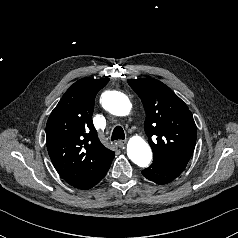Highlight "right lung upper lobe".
Masks as SVG:
<instances>
[{
	"label": "right lung upper lobe",
	"instance_id": "right-lung-upper-lobe-1",
	"mask_svg": "<svg viewBox=\"0 0 238 238\" xmlns=\"http://www.w3.org/2000/svg\"><path fill=\"white\" fill-rule=\"evenodd\" d=\"M109 78H83L63 95L46 125V145L59 175L79 187L109 166L114 152L100 142L92 123L95 96Z\"/></svg>",
	"mask_w": 238,
	"mask_h": 238
}]
</instances>
